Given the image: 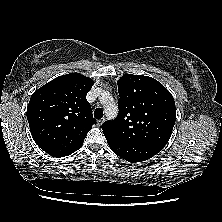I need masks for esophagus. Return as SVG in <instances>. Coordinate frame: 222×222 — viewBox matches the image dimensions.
I'll use <instances>...</instances> for the list:
<instances>
[{
  "instance_id": "34e87169",
  "label": "esophagus",
  "mask_w": 222,
  "mask_h": 222,
  "mask_svg": "<svg viewBox=\"0 0 222 222\" xmlns=\"http://www.w3.org/2000/svg\"><path fill=\"white\" fill-rule=\"evenodd\" d=\"M104 122V118L97 121V124L100 126Z\"/></svg>"
}]
</instances>
